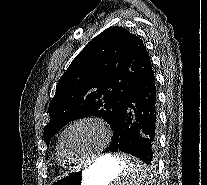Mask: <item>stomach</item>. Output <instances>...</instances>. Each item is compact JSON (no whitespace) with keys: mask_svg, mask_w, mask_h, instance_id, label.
<instances>
[{"mask_svg":"<svg viewBox=\"0 0 207 185\" xmlns=\"http://www.w3.org/2000/svg\"><path fill=\"white\" fill-rule=\"evenodd\" d=\"M117 156L107 154L96 159L88 168L56 178L53 185H109L122 172Z\"/></svg>","mask_w":207,"mask_h":185,"instance_id":"0dacf381","label":"stomach"}]
</instances>
